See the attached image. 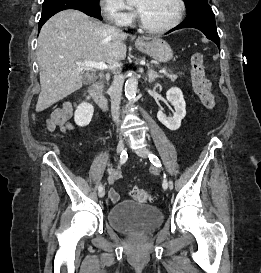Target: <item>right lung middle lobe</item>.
I'll return each mask as SVG.
<instances>
[{
  "label": "right lung middle lobe",
  "instance_id": "1",
  "mask_svg": "<svg viewBox=\"0 0 261 273\" xmlns=\"http://www.w3.org/2000/svg\"><path fill=\"white\" fill-rule=\"evenodd\" d=\"M71 0H45L43 3L42 15H49L55 12L68 9ZM86 5L97 11L99 10V0H83ZM67 4V6H65Z\"/></svg>",
  "mask_w": 261,
  "mask_h": 273
}]
</instances>
